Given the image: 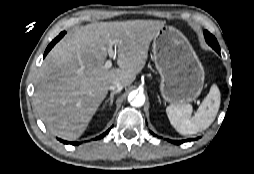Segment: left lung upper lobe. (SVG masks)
Returning a JSON list of instances; mask_svg holds the SVG:
<instances>
[{"mask_svg": "<svg viewBox=\"0 0 254 174\" xmlns=\"http://www.w3.org/2000/svg\"><path fill=\"white\" fill-rule=\"evenodd\" d=\"M204 36H205L206 42H207L215 51L220 50L219 44H218L216 38H215L212 34H210L208 31H205V32H204Z\"/></svg>", "mask_w": 254, "mask_h": 174, "instance_id": "1", "label": "left lung upper lobe"}]
</instances>
